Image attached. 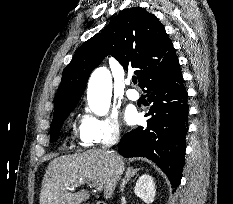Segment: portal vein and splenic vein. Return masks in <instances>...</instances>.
<instances>
[{"label": "portal vein and splenic vein", "mask_w": 233, "mask_h": 204, "mask_svg": "<svg viewBox=\"0 0 233 204\" xmlns=\"http://www.w3.org/2000/svg\"><path fill=\"white\" fill-rule=\"evenodd\" d=\"M85 183H88V182H86L84 180H80L79 182L75 183L72 186V188L80 186V185L85 184ZM89 186L93 187L96 191H102V189H103V186L101 184H99V183H89Z\"/></svg>", "instance_id": "portal-vein-and-splenic-vein-1"}]
</instances>
